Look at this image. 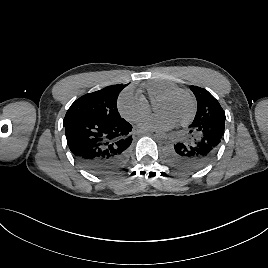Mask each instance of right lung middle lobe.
Instances as JSON below:
<instances>
[{
	"mask_svg": "<svg viewBox=\"0 0 268 268\" xmlns=\"http://www.w3.org/2000/svg\"><path fill=\"white\" fill-rule=\"evenodd\" d=\"M126 85H111L101 90L88 93L74 101L68 109L63 124L70 120L85 117L103 121L120 119L117 111V98Z\"/></svg>",
	"mask_w": 268,
	"mask_h": 268,
	"instance_id": "1",
	"label": "right lung middle lobe"
}]
</instances>
